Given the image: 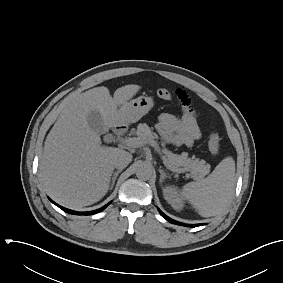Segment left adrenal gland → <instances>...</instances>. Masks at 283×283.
<instances>
[{
	"instance_id": "left-adrenal-gland-1",
	"label": "left adrenal gland",
	"mask_w": 283,
	"mask_h": 283,
	"mask_svg": "<svg viewBox=\"0 0 283 283\" xmlns=\"http://www.w3.org/2000/svg\"><path fill=\"white\" fill-rule=\"evenodd\" d=\"M160 172V183L162 184L165 178H170L169 174H166L162 169H159Z\"/></svg>"
}]
</instances>
